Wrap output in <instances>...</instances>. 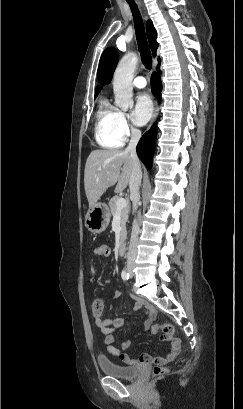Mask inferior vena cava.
<instances>
[{"instance_id":"obj_1","label":"inferior vena cava","mask_w":243,"mask_h":409,"mask_svg":"<svg viewBox=\"0 0 243 409\" xmlns=\"http://www.w3.org/2000/svg\"><path fill=\"white\" fill-rule=\"evenodd\" d=\"M141 137V131L137 128L131 129V139L126 148V152L130 154V157L133 160V170L129 181V188H130V198L133 203V210L136 211L138 207V202L140 199L139 188L141 185L142 179V171L140 167V162L136 153V146ZM140 232V227L137 219L133 221L132 233L129 243V249L127 254V263L132 264L134 263L136 256H137V242H138V235Z\"/></svg>"}]
</instances>
